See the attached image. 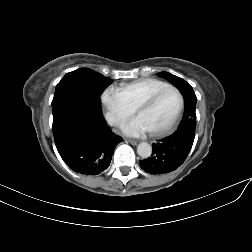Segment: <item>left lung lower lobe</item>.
<instances>
[{
	"mask_svg": "<svg viewBox=\"0 0 252 252\" xmlns=\"http://www.w3.org/2000/svg\"><path fill=\"white\" fill-rule=\"evenodd\" d=\"M184 114L176 131L152 145L151 157L140 160L141 168L150 174H162L174 171L185 161L195 138L196 102L195 93L186 92Z\"/></svg>",
	"mask_w": 252,
	"mask_h": 252,
	"instance_id": "obj_1",
	"label": "left lung lower lobe"
}]
</instances>
